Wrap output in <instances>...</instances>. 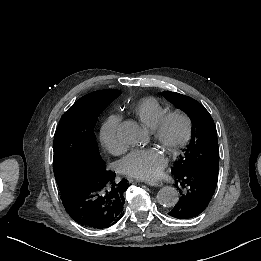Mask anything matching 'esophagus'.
<instances>
[{"label": "esophagus", "mask_w": 261, "mask_h": 261, "mask_svg": "<svg viewBox=\"0 0 261 261\" xmlns=\"http://www.w3.org/2000/svg\"><path fill=\"white\" fill-rule=\"evenodd\" d=\"M145 184L160 187L163 185V182L160 180H145Z\"/></svg>", "instance_id": "obj_1"}]
</instances>
